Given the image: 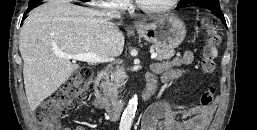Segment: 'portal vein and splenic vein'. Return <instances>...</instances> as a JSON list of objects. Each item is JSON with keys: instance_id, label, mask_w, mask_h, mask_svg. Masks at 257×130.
Masks as SVG:
<instances>
[{"instance_id": "18ae733b", "label": "portal vein and splenic vein", "mask_w": 257, "mask_h": 130, "mask_svg": "<svg viewBox=\"0 0 257 130\" xmlns=\"http://www.w3.org/2000/svg\"><path fill=\"white\" fill-rule=\"evenodd\" d=\"M56 56L60 58H65V59H71V60H77V61H84V62H89V63H102V62H107L113 60V58H106L99 56L93 52H88L84 54H64V53H56ZM157 57V53L152 51L151 52V59H155Z\"/></svg>"}]
</instances>
